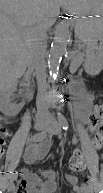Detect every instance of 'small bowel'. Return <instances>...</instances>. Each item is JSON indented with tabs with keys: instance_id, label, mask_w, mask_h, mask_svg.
Segmentation results:
<instances>
[{
	"instance_id": "1",
	"label": "small bowel",
	"mask_w": 103,
	"mask_h": 193,
	"mask_svg": "<svg viewBox=\"0 0 103 193\" xmlns=\"http://www.w3.org/2000/svg\"><path fill=\"white\" fill-rule=\"evenodd\" d=\"M94 96L91 93L82 92L76 99V103L79 108V112L84 119L89 121V117L94 110ZM10 132L7 131V137L10 136ZM5 138V139H6ZM5 143V140H4ZM3 143V144H4ZM50 150L49 140H44L38 144L28 146L23 153V159L27 164H33L38 159L46 156ZM0 154H4V150L0 151ZM10 185L12 187L8 191H11L13 187L12 174L10 175ZM63 183L70 190V193H89V186L86 183H80L79 178L70 175L63 174L51 169L31 170L29 168L21 169V179L17 182V187L14 191L17 193H57L60 189V184Z\"/></svg>"
}]
</instances>
